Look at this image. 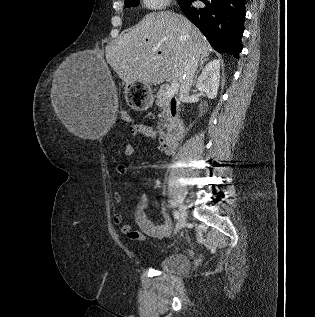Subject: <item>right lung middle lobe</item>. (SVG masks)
<instances>
[{"instance_id": "dd1d6c3e", "label": "right lung middle lobe", "mask_w": 315, "mask_h": 317, "mask_svg": "<svg viewBox=\"0 0 315 317\" xmlns=\"http://www.w3.org/2000/svg\"><path fill=\"white\" fill-rule=\"evenodd\" d=\"M180 0H178L179 2ZM139 4V0H125L126 7H136Z\"/></svg>"}]
</instances>
